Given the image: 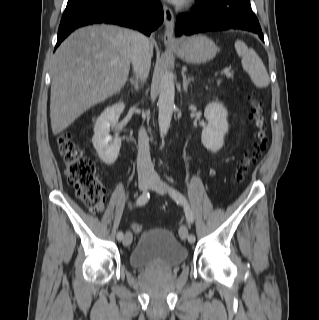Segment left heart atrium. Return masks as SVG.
<instances>
[{"mask_svg":"<svg viewBox=\"0 0 319 320\" xmlns=\"http://www.w3.org/2000/svg\"><path fill=\"white\" fill-rule=\"evenodd\" d=\"M171 1H173V2H178V1H180V0H171Z\"/></svg>","mask_w":319,"mask_h":320,"instance_id":"39dd6f15","label":"left heart atrium"}]
</instances>
